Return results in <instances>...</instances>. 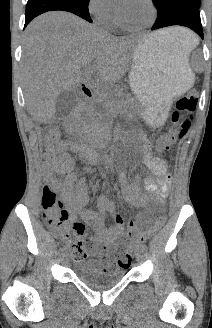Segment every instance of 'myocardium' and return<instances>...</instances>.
<instances>
[{
	"label": "myocardium",
	"instance_id": "1",
	"mask_svg": "<svg viewBox=\"0 0 212 328\" xmlns=\"http://www.w3.org/2000/svg\"><path fill=\"white\" fill-rule=\"evenodd\" d=\"M145 2L149 5V7L151 9V13H152L151 19L147 24L141 25V26H134V25L128 24L122 17L121 10L118 9L117 14H116V19H117L118 23L120 24V26L129 31H143V30H146L147 28H149L156 20L157 8H156V5L153 0H145Z\"/></svg>",
	"mask_w": 212,
	"mask_h": 328
}]
</instances>
